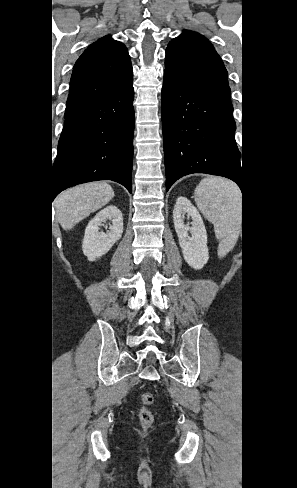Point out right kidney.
<instances>
[{
	"label": "right kidney",
	"mask_w": 297,
	"mask_h": 488,
	"mask_svg": "<svg viewBox=\"0 0 297 488\" xmlns=\"http://www.w3.org/2000/svg\"><path fill=\"white\" fill-rule=\"evenodd\" d=\"M107 220L111 226L107 232H99V226ZM123 217L121 211L114 205L107 206L90 220L83 239L82 249L90 261L105 255L111 247L122 237Z\"/></svg>",
	"instance_id": "obj_1"
}]
</instances>
